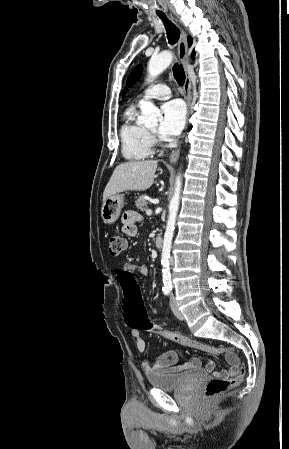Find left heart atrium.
Returning <instances> with one entry per match:
<instances>
[{
    "label": "left heart atrium",
    "mask_w": 289,
    "mask_h": 449,
    "mask_svg": "<svg viewBox=\"0 0 289 449\" xmlns=\"http://www.w3.org/2000/svg\"><path fill=\"white\" fill-rule=\"evenodd\" d=\"M161 123L159 133L166 141L173 140L185 124V107L179 100H171L161 106Z\"/></svg>",
    "instance_id": "1"
}]
</instances>
